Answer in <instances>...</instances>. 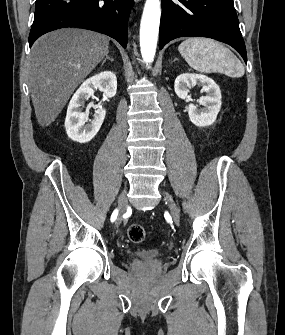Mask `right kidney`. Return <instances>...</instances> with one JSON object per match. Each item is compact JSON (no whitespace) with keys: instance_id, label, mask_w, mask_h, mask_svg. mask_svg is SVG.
I'll return each mask as SVG.
<instances>
[{"instance_id":"right-kidney-1","label":"right kidney","mask_w":285,"mask_h":335,"mask_svg":"<svg viewBox=\"0 0 285 335\" xmlns=\"http://www.w3.org/2000/svg\"><path fill=\"white\" fill-rule=\"evenodd\" d=\"M93 88H99L100 92H104L107 98H113L117 92L115 74L113 72H100V74L88 78L71 98L65 118V128L68 138H71L74 142H79V144H86L96 136L106 116V110L99 108V110H96L91 124L85 126V122H88V114L82 112L81 106H83L85 100H89L93 96Z\"/></svg>"}]
</instances>
